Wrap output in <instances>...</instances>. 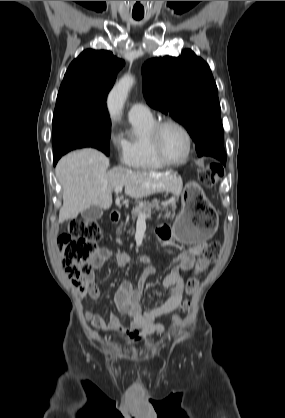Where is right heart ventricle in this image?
<instances>
[{
  "instance_id": "obj_1",
  "label": "right heart ventricle",
  "mask_w": 285,
  "mask_h": 418,
  "mask_svg": "<svg viewBox=\"0 0 285 418\" xmlns=\"http://www.w3.org/2000/svg\"><path fill=\"white\" fill-rule=\"evenodd\" d=\"M132 133L123 141L127 150L128 165L134 168L153 170L166 166L154 155L149 144V134L155 125V120L131 121Z\"/></svg>"
}]
</instances>
